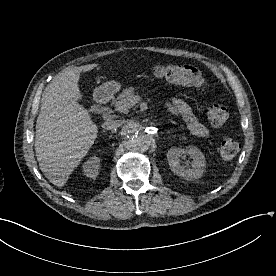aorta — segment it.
Returning a JSON list of instances; mask_svg holds the SVG:
<instances>
[{
    "label": "aorta",
    "mask_w": 276,
    "mask_h": 276,
    "mask_svg": "<svg viewBox=\"0 0 276 276\" xmlns=\"http://www.w3.org/2000/svg\"><path fill=\"white\" fill-rule=\"evenodd\" d=\"M121 135L128 149L145 152L151 146V138L136 124H127L123 127Z\"/></svg>",
    "instance_id": "762f6f07"
}]
</instances>
